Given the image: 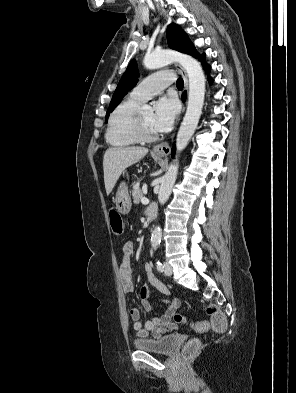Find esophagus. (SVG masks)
I'll use <instances>...</instances> for the list:
<instances>
[{
	"label": "esophagus",
	"mask_w": 296,
	"mask_h": 393,
	"mask_svg": "<svg viewBox=\"0 0 296 393\" xmlns=\"http://www.w3.org/2000/svg\"><path fill=\"white\" fill-rule=\"evenodd\" d=\"M175 66L179 70V72L181 73V75L183 77L184 90H187V88H188V75L181 65H179L178 63H175ZM184 110H185V107L183 106V112H184ZM173 136H174V134L171 136V139L173 138ZM170 151H171L170 143L167 141L157 144L153 148L154 153L162 155V156H167L168 154H170Z\"/></svg>",
	"instance_id": "obj_1"
}]
</instances>
